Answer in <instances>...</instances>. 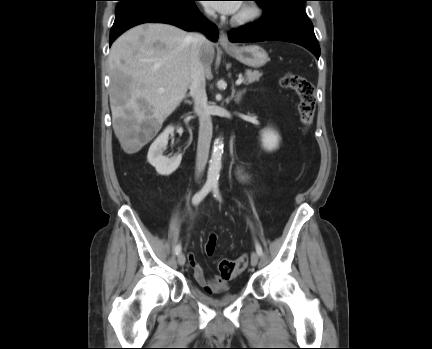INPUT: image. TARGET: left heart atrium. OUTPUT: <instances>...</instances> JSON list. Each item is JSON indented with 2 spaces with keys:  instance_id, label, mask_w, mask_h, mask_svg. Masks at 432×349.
<instances>
[{
  "instance_id": "left-heart-atrium-1",
  "label": "left heart atrium",
  "mask_w": 432,
  "mask_h": 349,
  "mask_svg": "<svg viewBox=\"0 0 432 349\" xmlns=\"http://www.w3.org/2000/svg\"><path fill=\"white\" fill-rule=\"evenodd\" d=\"M206 5L223 14H235L239 11L241 4L239 1H223L215 3H206Z\"/></svg>"
}]
</instances>
